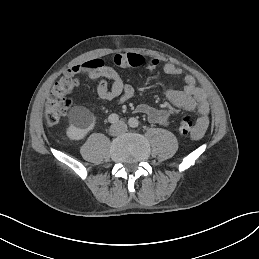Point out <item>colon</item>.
I'll return each mask as SVG.
<instances>
[{
	"label": "colon",
	"mask_w": 259,
	"mask_h": 259,
	"mask_svg": "<svg viewBox=\"0 0 259 259\" xmlns=\"http://www.w3.org/2000/svg\"><path fill=\"white\" fill-rule=\"evenodd\" d=\"M78 81L74 75L66 74L51 88L45 104V118L50 126L59 124L71 107L70 94L77 88ZM179 131L183 135L192 134L194 124L190 117L183 116L179 120Z\"/></svg>",
	"instance_id": "obj_1"
}]
</instances>
